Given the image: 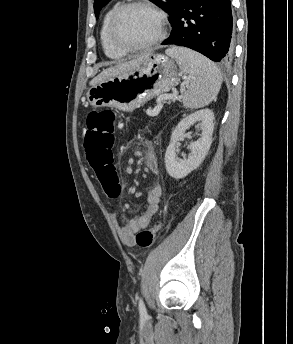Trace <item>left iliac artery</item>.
Masks as SVG:
<instances>
[{"label": "left iliac artery", "instance_id": "1", "mask_svg": "<svg viewBox=\"0 0 293 344\" xmlns=\"http://www.w3.org/2000/svg\"><path fill=\"white\" fill-rule=\"evenodd\" d=\"M139 312H140L141 317H147L146 307L142 299L139 300Z\"/></svg>", "mask_w": 293, "mask_h": 344}]
</instances>
